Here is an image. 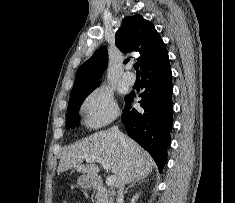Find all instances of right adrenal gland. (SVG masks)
I'll list each match as a JSON object with an SVG mask.
<instances>
[{
  "mask_svg": "<svg viewBox=\"0 0 235 203\" xmlns=\"http://www.w3.org/2000/svg\"><path fill=\"white\" fill-rule=\"evenodd\" d=\"M146 178V176L144 177H140V178H137L135 180H133V182L126 188L124 194H126L128 192V189L135 186L136 183H140L141 181H143L144 179Z\"/></svg>",
  "mask_w": 235,
  "mask_h": 203,
  "instance_id": "right-adrenal-gland-1",
  "label": "right adrenal gland"
}]
</instances>
